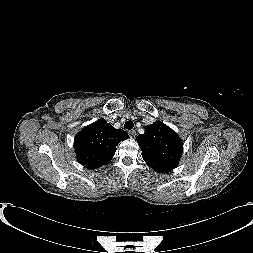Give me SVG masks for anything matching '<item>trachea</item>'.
<instances>
[{"label":"trachea","mask_w":253,"mask_h":253,"mask_svg":"<svg viewBox=\"0 0 253 253\" xmlns=\"http://www.w3.org/2000/svg\"><path fill=\"white\" fill-rule=\"evenodd\" d=\"M124 127L128 130H131L133 129L134 127V123L132 121H127L125 124H124Z\"/></svg>","instance_id":"obj_1"}]
</instances>
